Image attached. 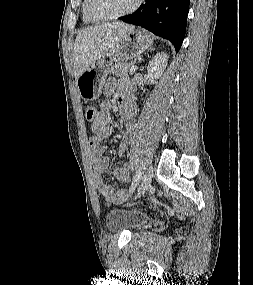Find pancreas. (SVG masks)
Segmentation results:
<instances>
[{"label": "pancreas", "mask_w": 253, "mask_h": 285, "mask_svg": "<svg viewBox=\"0 0 253 285\" xmlns=\"http://www.w3.org/2000/svg\"><path fill=\"white\" fill-rule=\"evenodd\" d=\"M134 65V62L127 63H118L114 66H111L109 73L115 76H127L130 73L131 67Z\"/></svg>", "instance_id": "1"}]
</instances>
